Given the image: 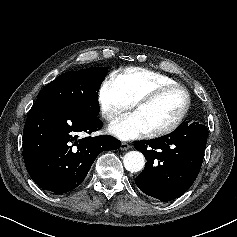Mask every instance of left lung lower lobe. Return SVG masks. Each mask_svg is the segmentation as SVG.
Instances as JSON below:
<instances>
[{"instance_id":"1","label":"left lung lower lobe","mask_w":237,"mask_h":237,"mask_svg":"<svg viewBox=\"0 0 237 237\" xmlns=\"http://www.w3.org/2000/svg\"><path fill=\"white\" fill-rule=\"evenodd\" d=\"M207 135V126L185 121L170 134L136 142L134 148L147 160L135 179L137 187L161 201L180 197L199 174Z\"/></svg>"}]
</instances>
